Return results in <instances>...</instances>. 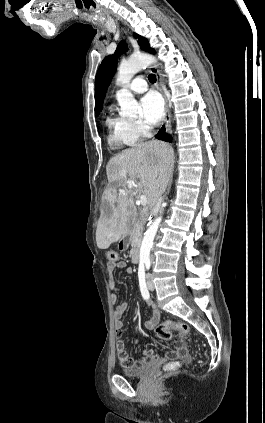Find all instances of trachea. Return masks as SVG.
Listing matches in <instances>:
<instances>
[{"label":"trachea","mask_w":265,"mask_h":423,"mask_svg":"<svg viewBox=\"0 0 265 423\" xmlns=\"http://www.w3.org/2000/svg\"><path fill=\"white\" fill-rule=\"evenodd\" d=\"M148 80H149L151 83H155V82H156V76H155L154 74H150V75L148 76Z\"/></svg>","instance_id":"3493384b"}]
</instances>
